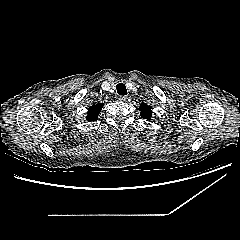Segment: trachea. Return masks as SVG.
<instances>
[{"label": "trachea", "mask_w": 240, "mask_h": 240, "mask_svg": "<svg viewBox=\"0 0 240 240\" xmlns=\"http://www.w3.org/2000/svg\"><path fill=\"white\" fill-rule=\"evenodd\" d=\"M117 93L121 96L127 95V89L126 86L123 83H119L116 86Z\"/></svg>", "instance_id": "3493384b"}]
</instances>
